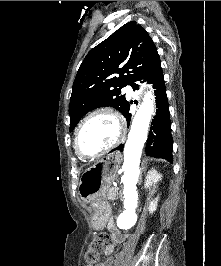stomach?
<instances>
[{"instance_id": "0dacf381", "label": "stomach", "mask_w": 221, "mask_h": 266, "mask_svg": "<svg viewBox=\"0 0 221 266\" xmlns=\"http://www.w3.org/2000/svg\"><path fill=\"white\" fill-rule=\"evenodd\" d=\"M121 157L117 153L108 154L90 166L82 174L78 186L81 200L93 208V226L97 227L107 217L106 193L115 178Z\"/></svg>"}]
</instances>
